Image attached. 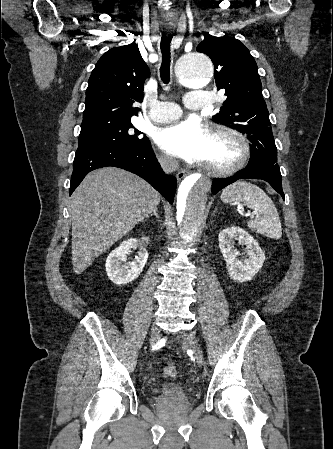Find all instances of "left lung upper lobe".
Masks as SVG:
<instances>
[{
	"mask_svg": "<svg viewBox=\"0 0 333 449\" xmlns=\"http://www.w3.org/2000/svg\"><path fill=\"white\" fill-rule=\"evenodd\" d=\"M197 51L208 55L214 66L218 90L227 96L216 122L225 123L243 133L251 142L247 166L278 167L277 148L262 96L257 64L244 44L232 37L205 34Z\"/></svg>",
	"mask_w": 333,
	"mask_h": 449,
	"instance_id": "left-lung-upper-lobe-1",
	"label": "left lung upper lobe"
}]
</instances>
